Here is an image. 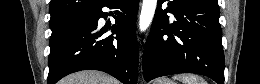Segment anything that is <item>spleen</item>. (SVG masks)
<instances>
[{
  "label": "spleen",
  "mask_w": 260,
  "mask_h": 84,
  "mask_svg": "<svg viewBox=\"0 0 260 84\" xmlns=\"http://www.w3.org/2000/svg\"><path fill=\"white\" fill-rule=\"evenodd\" d=\"M174 79H179L184 84H207V82L201 76L192 73L175 75Z\"/></svg>",
  "instance_id": "3e777b00"
}]
</instances>
